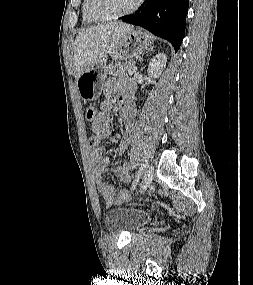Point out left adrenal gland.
I'll return each mask as SVG.
<instances>
[{
    "label": "left adrenal gland",
    "mask_w": 253,
    "mask_h": 285,
    "mask_svg": "<svg viewBox=\"0 0 253 285\" xmlns=\"http://www.w3.org/2000/svg\"><path fill=\"white\" fill-rule=\"evenodd\" d=\"M153 50V48H150L148 51H152Z\"/></svg>",
    "instance_id": "obj_1"
}]
</instances>
